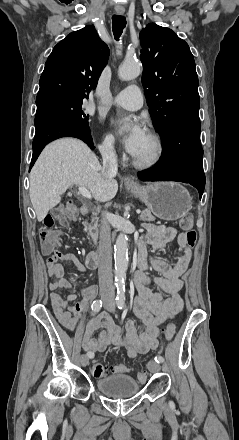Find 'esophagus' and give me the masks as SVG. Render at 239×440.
<instances>
[{
    "label": "esophagus",
    "instance_id": "1",
    "mask_svg": "<svg viewBox=\"0 0 239 440\" xmlns=\"http://www.w3.org/2000/svg\"><path fill=\"white\" fill-rule=\"evenodd\" d=\"M116 13L118 15H123L124 11H117ZM124 181H125V183H132V184L137 185L135 180L133 178H131V177H125Z\"/></svg>",
    "mask_w": 239,
    "mask_h": 440
}]
</instances>
